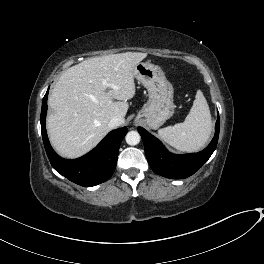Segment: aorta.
Returning <instances> with one entry per match:
<instances>
[{"instance_id": "aorta-1", "label": "aorta", "mask_w": 264, "mask_h": 264, "mask_svg": "<svg viewBox=\"0 0 264 264\" xmlns=\"http://www.w3.org/2000/svg\"><path fill=\"white\" fill-rule=\"evenodd\" d=\"M125 139L128 145H137L140 142V135L137 131H130L127 133Z\"/></svg>"}]
</instances>
